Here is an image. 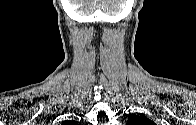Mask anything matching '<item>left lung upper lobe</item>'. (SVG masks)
<instances>
[{"mask_svg":"<svg viewBox=\"0 0 196 125\" xmlns=\"http://www.w3.org/2000/svg\"><path fill=\"white\" fill-rule=\"evenodd\" d=\"M128 125H153V122L141 115H133L128 120Z\"/></svg>","mask_w":196,"mask_h":125,"instance_id":"1","label":"left lung upper lobe"}]
</instances>
